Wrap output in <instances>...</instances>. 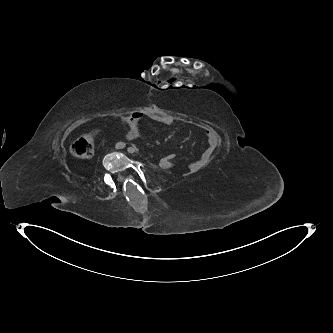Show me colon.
<instances>
[{
    "instance_id": "colon-1",
    "label": "colon",
    "mask_w": 333,
    "mask_h": 333,
    "mask_svg": "<svg viewBox=\"0 0 333 333\" xmlns=\"http://www.w3.org/2000/svg\"><path fill=\"white\" fill-rule=\"evenodd\" d=\"M97 135L96 131L86 133L79 137L71 146V153L78 159L90 158L94 152V138ZM175 158V153H169L159 158V163Z\"/></svg>"
}]
</instances>
